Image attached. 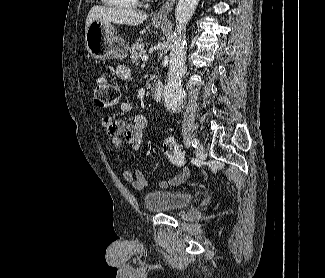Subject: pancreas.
I'll use <instances>...</instances> for the list:
<instances>
[{
	"instance_id": "obj_1",
	"label": "pancreas",
	"mask_w": 325,
	"mask_h": 278,
	"mask_svg": "<svg viewBox=\"0 0 325 278\" xmlns=\"http://www.w3.org/2000/svg\"><path fill=\"white\" fill-rule=\"evenodd\" d=\"M129 50L132 63L138 65L140 60L146 53L144 49V43H142V40H136L133 45H131Z\"/></svg>"
}]
</instances>
